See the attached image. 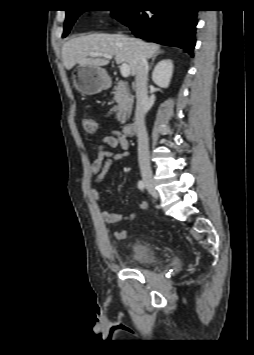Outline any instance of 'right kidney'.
Listing matches in <instances>:
<instances>
[{
    "mask_svg": "<svg viewBox=\"0 0 254 355\" xmlns=\"http://www.w3.org/2000/svg\"><path fill=\"white\" fill-rule=\"evenodd\" d=\"M173 73V62L170 59H164L157 63L152 73L153 82L162 87L169 86Z\"/></svg>",
    "mask_w": 254,
    "mask_h": 355,
    "instance_id": "ca27d5eb",
    "label": "right kidney"
}]
</instances>
